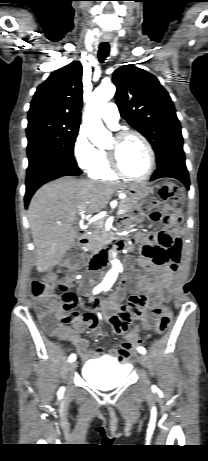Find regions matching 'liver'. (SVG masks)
I'll return each instance as SVG.
<instances>
[{
    "instance_id": "6515ba94",
    "label": "liver",
    "mask_w": 208,
    "mask_h": 461,
    "mask_svg": "<svg viewBox=\"0 0 208 461\" xmlns=\"http://www.w3.org/2000/svg\"><path fill=\"white\" fill-rule=\"evenodd\" d=\"M121 185L62 177L36 191L28 220L36 248V269L42 273L58 265L77 236L74 226L81 212L106 208Z\"/></svg>"
}]
</instances>
